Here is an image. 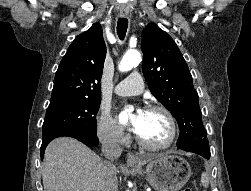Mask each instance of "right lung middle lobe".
<instances>
[{
	"label": "right lung middle lobe",
	"mask_w": 251,
	"mask_h": 191,
	"mask_svg": "<svg viewBox=\"0 0 251 191\" xmlns=\"http://www.w3.org/2000/svg\"><path fill=\"white\" fill-rule=\"evenodd\" d=\"M100 102L101 99L85 100L49 106L42 126V139L66 129L97 133L96 115Z\"/></svg>",
	"instance_id": "obj_1"
}]
</instances>
